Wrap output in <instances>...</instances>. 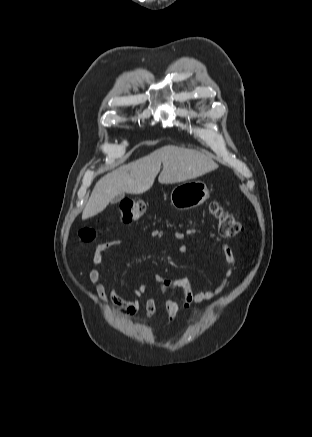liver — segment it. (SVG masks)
Listing matches in <instances>:
<instances>
[{
    "instance_id": "6515ba94",
    "label": "liver",
    "mask_w": 312,
    "mask_h": 437,
    "mask_svg": "<svg viewBox=\"0 0 312 437\" xmlns=\"http://www.w3.org/2000/svg\"><path fill=\"white\" fill-rule=\"evenodd\" d=\"M161 163L163 170L158 178L161 184L184 182L218 168V164L202 152L173 145L164 146L101 177L83 210L82 219L102 212L119 194H142L148 191L160 172Z\"/></svg>"
}]
</instances>
